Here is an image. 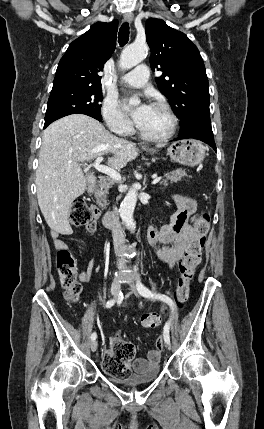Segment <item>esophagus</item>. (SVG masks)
Returning <instances> with one entry per match:
<instances>
[{"instance_id":"1","label":"esophagus","mask_w":264,"mask_h":429,"mask_svg":"<svg viewBox=\"0 0 264 429\" xmlns=\"http://www.w3.org/2000/svg\"><path fill=\"white\" fill-rule=\"evenodd\" d=\"M124 19H125V21H126V22H128V23H132V22H133V19H134V15H133V13H131V12L126 13V14L124 15Z\"/></svg>"}]
</instances>
